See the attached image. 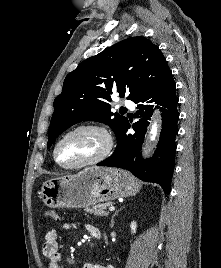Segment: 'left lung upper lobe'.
I'll use <instances>...</instances> for the list:
<instances>
[{
    "label": "left lung upper lobe",
    "instance_id": "obj_1",
    "mask_svg": "<svg viewBox=\"0 0 221 268\" xmlns=\"http://www.w3.org/2000/svg\"><path fill=\"white\" fill-rule=\"evenodd\" d=\"M171 76L159 48L141 36L120 41L86 59L66 76L62 93L54 100L47 147L67 128L81 121L105 123L117 136L128 120L111 112V95L127 94V99L135 102Z\"/></svg>",
    "mask_w": 221,
    "mask_h": 268
}]
</instances>
